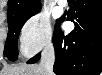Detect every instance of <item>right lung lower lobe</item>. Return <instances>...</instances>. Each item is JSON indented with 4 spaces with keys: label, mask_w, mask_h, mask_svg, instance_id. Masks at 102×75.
I'll use <instances>...</instances> for the list:
<instances>
[{
    "label": "right lung lower lobe",
    "mask_w": 102,
    "mask_h": 75,
    "mask_svg": "<svg viewBox=\"0 0 102 75\" xmlns=\"http://www.w3.org/2000/svg\"><path fill=\"white\" fill-rule=\"evenodd\" d=\"M65 14L57 21L53 43L57 75H99L102 68V1L76 0L68 11L67 20L75 28L68 35L60 30ZM40 53L27 61L38 62Z\"/></svg>",
    "instance_id": "right-lung-lower-lobe-1"
}]
</instances>
